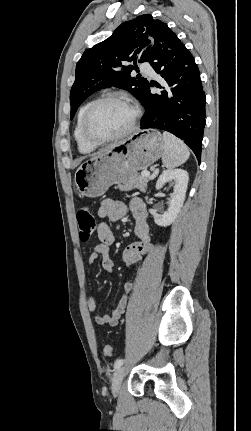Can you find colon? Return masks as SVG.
<instances>
[{
    "mask_svg": "<svg viewBox=\"0 0 251 431\" xmlns=\"http://www.w3.org/2000/svg\"><path fill=\"white\" fill-rule=\"evenodd\" d=\"M79 236L82 242H87L93 235L96 228V219L92 209L88 206H82L78 209L76 214ZM104 356L111 357L113 354L112 347L105 345L103 348Z\"/></svg>",
    "mask_w": 251,
    "mask_h": 431,
    "instance_id": "colon-1",
    "label": "colon"
}]
</instances>
